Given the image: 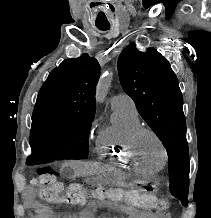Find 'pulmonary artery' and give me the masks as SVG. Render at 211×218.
<instances>
[{"label":"pulmonary artery","instance_id":"e3ab8cb5","mask_svg":"<svg viewBox=\"0 0 211 218\" xmlns=\"http://www.w3.org/2000/svg\"><path fill=\"white\" fill-rule=\"evenodd\" d=\"M112 108L126 107L136 110L134 100L127 93H119L112 97L111 100Z\"/></svg>","mask_w":211,"mask_h":218}]
</instances>
